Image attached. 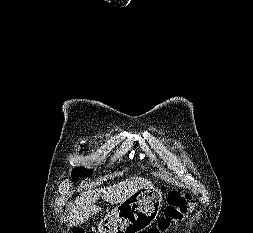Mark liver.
<instances>
[{
    "label": "liver",
    "instance_id": "6515ba94",
    "mask_svg": "<svg viewBox=\"0 0 253 233\" xmlns=\"http://www.w3.org/2000/svg\"><path fill=\"white\" fill-rule=\"evenodd\" d=\"M153 186L154 184L150 180L135 176L113 186L87 190L80 194V197H77L72 204L69 222L72 226L80 225L91 216L100 212L101 208L95 205L100 197L112 204L121 203L138 190Z\"/></svg>",
    "mask_w": 253,
    "mask_h": 233
}]
</instances>
